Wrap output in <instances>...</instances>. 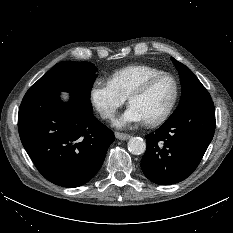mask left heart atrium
I'll return each mask as SVG.
<instances>
[{
    "label": "left heart atrium",
    "mask_w": 233,
    "mask_h": 233,
    "mask_svg": "<svg viewBox=\"0 0 233 233\" xmlns=\"http://www.w3.org/2000/svg\"><path fill=\"white\" fill-rule=\"evenodd\" d=\"M145 119L142 114L132 105L115 121L118 127H128L134 124L144 123Z\"/></svg>",
    "instance_id": "obj_1"
}]
</instances>
